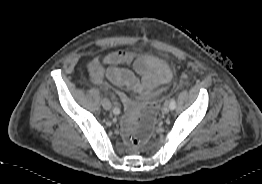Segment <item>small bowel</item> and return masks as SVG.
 I'll return each mask as SVG.
<instances>
[{
    "label": "small bowel",
    "mask_w": 262,
    "mask_h": 184,
    "mask_svg": "<svg viewBox=\"0 0 262 184\" xmlns=\"http://www.w3.org/2000/svg\"><path fill=\"white\" fill-rule=\"evenodd\" d=\"M101 60L108 65L106 70L95 61L86 65L90 81L97 86L103 85V79L106 77L115 86L148 94L156 87L169 82L172 77L170 69L153 56L134 57L126 51H114L105 54ZM123 64L131 65L132 69L121 67Z\"/></svg>",
    "instance_id": "obj_1"
}]
</instances>
